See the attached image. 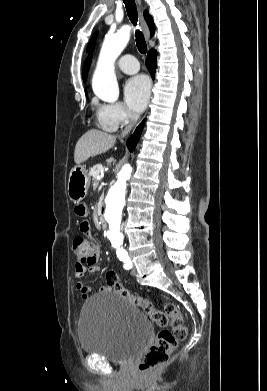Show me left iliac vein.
I'll return each mask as SVG.
<instances>
[{
  "label": "left iliac vein",
  "mask_w": 267,
  "mask_h": 391,
  "mask_svg": "<svg viewBox=\"0 0 267 391\" xmlns=\"http://www.w3.org/2000/svg\"><path fill=\"white\" fill-rule=\"evenodd\" d=\"M136 273H137L136 267H135V265L133 264L132 269H131V274L134 276V275H136Z\"/></svg>",
  "instance_id": "left-iliac-vein-1"
}]
</instances>
